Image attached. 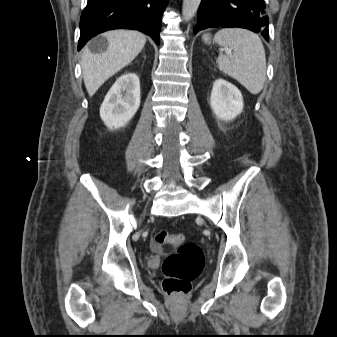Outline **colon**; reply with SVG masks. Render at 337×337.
<instances>
[{
    "mask_svg": "<svg viewBox=\"0 0 337 337\" xmlns=\"http://www.w3.org/2000/svg\"><path fill=\"white\" fill-rule=\"evenodd\" d=\"M166 245L177 249L163 261V291L169 296L186 295L204 267V253L196 243L185 242L182 234L161 230L155 234L153 246L158 250Z\"/></svg>",
    "mask_w": 337,
    "mask_h": 337,
    "instance_id": "obj_1",
    "label": "colon"
}]
</instances>
